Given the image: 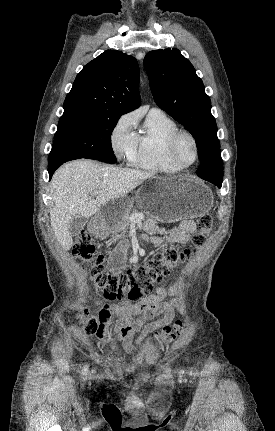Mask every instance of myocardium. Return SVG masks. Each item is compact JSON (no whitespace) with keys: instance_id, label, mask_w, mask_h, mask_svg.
<instances>
[{"instance_id":"obj_1","label":"myocardium","mask_w":275,"mask_h":431,"mask_svg":"<svg viewBox=\"0 0 275 431\" xmlns=\"http://www.w3.org/2000/svg\"><path fill=\"white\" fill-rule=\"evenodd\" d=\"M182 137H187L194 148V158L192 160V162L190 163H183L178 155H177V145L179 140ZM167 154L169 159L178 167H180L181 169H185V168H189L192 165H194L198 159H199V146H198V142L196 137L188 130L185 129H178L176 132H174L171 137L169 138L168 144H167Z\"/></svg>"}]
</instances>
